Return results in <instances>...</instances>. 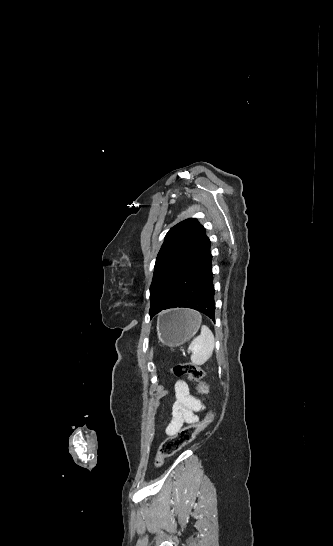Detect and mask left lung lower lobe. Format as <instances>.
I'll list each match as a JSON object with an SVG mask.
<instances>
[{
  "label": "left lung lower lobe",
  "instance_id": "0a47b994",
  "mask_svg": "<svg viewBox=\"0 0 333 546\" xmlns=\"http://www.w3.org/2000/svg\"><path fill=\"white\" fill-rule=\"evenodd\" d=\"M210 245L207 237L198 256L171 285L161 311L175 307L191 308L207 315L215 322V289Z\"/></svg>",
  "mask_w": 333,
  "mask_h": 546
}]
</instances>
